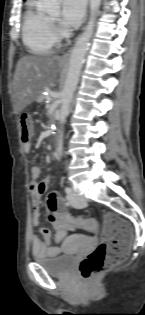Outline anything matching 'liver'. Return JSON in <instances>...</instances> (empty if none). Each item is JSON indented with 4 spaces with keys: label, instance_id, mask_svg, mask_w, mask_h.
<instances>
[{
    "label": "liver",
    "instance_id": "1",
    "mask_svg": "<svg viewBox=\"0 0 145 315\" xmlns=\"http://www.w3.org/2000/svg\"><path fill=\"white\" fill-rule=\"evenodd\" d=\"M58 55H25L19 59L13 79V110L20 113L52 85L61 67Z\"/></svg>",
    "mask_w": 145,
    "mask_h": 315
}]
</instances>
